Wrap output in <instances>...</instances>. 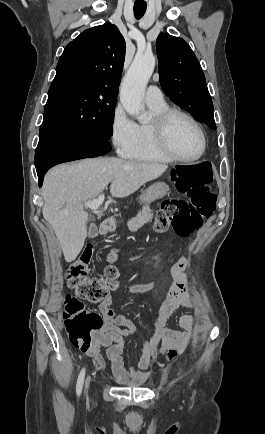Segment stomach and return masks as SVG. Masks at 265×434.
<instances>
[{
	"label": "stomach",
	"mask_w": 265,
	"mask_h": 434,
	"mask_svg": "<svg viewBox=\"0 0 265 434\" xmlns=\"http://www.w3.org/2000/svg\"><path fill=\"white\" fill-rule=\"evenodd\" d=\"M168 192L169 186H166L164 182H156V184H152V186H149L147 190H144L139 200L141 204H144V206H148V204H151V202H155V200H160V198L166 196Z\"/></svg>",
	"instance_id": "stomach-1"
}]
</instances>
